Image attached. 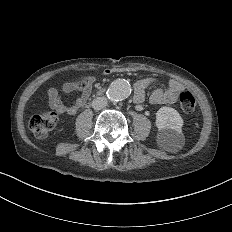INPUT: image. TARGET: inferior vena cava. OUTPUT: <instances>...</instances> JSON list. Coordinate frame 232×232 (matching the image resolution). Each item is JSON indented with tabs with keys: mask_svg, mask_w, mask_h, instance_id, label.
<instances>
[{
	"mask_svg": "<svg viewBox=\"0 0 232 232\" xmlns=\"http://www.w3.org/2000/svg\"><path fill=\"white\" fill-rule=\"evenodd\" d=\"M107 106V98L105 97H98L93 100L92 102V107L96 111H102L106 108Z\"/></svg>",
	"mask_w": 232,
	"mask_h": 232,
	"instance_id": "obj_1",
	"label": "inferior vena cava"
}]
</instances>
